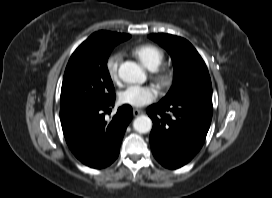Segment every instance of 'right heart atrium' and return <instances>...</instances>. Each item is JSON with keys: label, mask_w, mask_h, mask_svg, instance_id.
Returning <instances> with one entry per match:
<instances>
[{"label": "right heart atrium", "mask_w": 272, "mask_h": 198, "mask_svg": "<svg viewBox=\"0 0 272 198\" xmlns=\"http://www.w3.org/2000/svg\"><path fill=\"white\" fill-rule=\"evenodd\" d=\"M122 61L120 52L112 53L106 61L107 74L112 81H116L119 76V66Z\"/></svg>", "instance_id": "obj_1"}]
</instances>
